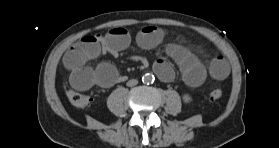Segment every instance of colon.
Segmentation results:
<instances>
[{"mask_svg": "<svg viewBox=\"0 0 279 148\" xmlns=\"http://www.w3.org/2000/svg\"><path fill=\"white\" fill-rule=\"evenodd\" d=\"M66 92L71 104L74 107L78 109H83L89 105L90 98L87 95L78 93L69 88H67ZM222 95H223V91L220 88H214L209 90L206 96L208 100L216 101L220 99Z\"/></svg>", "mask_w": 279, "mask_h": 148, "instance_id": "colon-1", "label": "colon"}]
</instances>
